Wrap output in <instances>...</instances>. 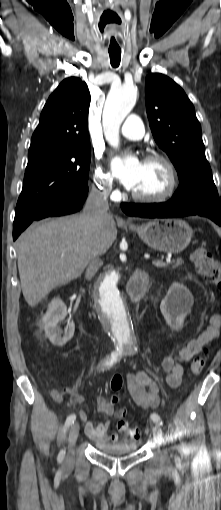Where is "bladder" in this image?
<instances>
[{"instance_id": "bladder-1", "label": "bladder", "mask_w": 221, "mask_h": 510, "mask_svg": "<svg viewBox=\"0 0 221 510\" xmlns=\"http://www.w3.org/2000/svg\"><path fill=\"white\" fill-rule=\"evenodd\" d=\"M96 448L109 456H122L133 453L137 449V443L132 440L119 442H101L95 443Z\"/></svg>"}]
</instances>
